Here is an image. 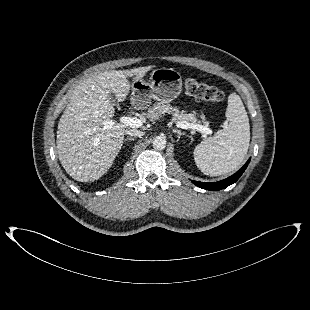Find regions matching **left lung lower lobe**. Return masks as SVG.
Segmentation results:
<instances>
[{
  "instance_id": "1",
  "label": "left lung lower lobe",
  "mask_w": 310,
  "mask_h": 310,
  "mask_svg": "<svg viewBox=\"0 0 310 310\" xmlns=\"http://www.w3.org/2000/svg\"><path fill=\"white\" fill-rule=\"evenodd\" d=\"M249 162H250V160H248L246 162V164L239 171H237L234 175H232L229 178L224 179L222 181L214 182V183H204V182H198V181L192 180V182L196 186L203 188V189H206V190H212V191L221 190V189L226 188L229 185L235 183L239 179V177L243 174V172L247 168Z\"/></svg>"
}]
</instances>
